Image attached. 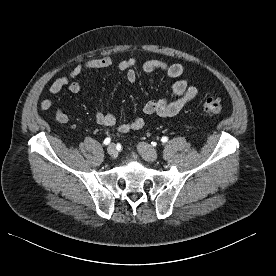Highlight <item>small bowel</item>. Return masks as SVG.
I'll use <instances>...</instances> for the list:
<instances>
[{
    "mask_svg": "<svg viewBox=\"0 0 276 276\" xmlns=\"http://www.w3.org/2000/svg\"><path fill=\"white\" fill-rule=\"evenodd\" d=\"M137 63L136 58L131 57L122 60L118 68L119 70L125 72L126 80L129 83H134L137 79V71L135 65ZM113 64V59L110 56H103L101 58L89 60L86 63V68L88 69H102L108 68ZM145 72H153L155 70L165 71L167 75L171 78H178L183 74L184 68L181 64H169L164 60L151 59L146 61L143 66ZM83 70L81 64H76L72 71L71 76L79 75ZM68 85V89L71 93L77 94L81 90V86L78 82L69 83L66 77L58 78L49 87L48 92L50 94L59 93L63 87ZM172 92L176 99L171 101L166 100H153L147 102L143 111L145 114H156L162 117H172L177 115L183 107L197 96L198 90L195 86L188 84L187 80L179 79L172 85ZM52 106L51 101L46 99L40 103V109L46 111ZM55 119L59 123H67L69 120L68 114L62 108H58L55 111ZM95 120L98 124L107 127H112L116 125V118L109 113H104L102 111H96ZM145 125V120L142 117H135L125 123L120 124L117 128L120 132H128L132 130L142 129Z\"/></svg>",
    "mask_w": 276,
    "mask_h": 276,
    "instance_id": "small-bowel-1",
    "label": "small bowel"
}]
</instances>
